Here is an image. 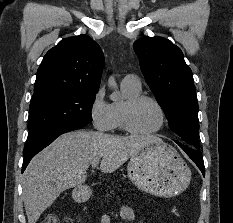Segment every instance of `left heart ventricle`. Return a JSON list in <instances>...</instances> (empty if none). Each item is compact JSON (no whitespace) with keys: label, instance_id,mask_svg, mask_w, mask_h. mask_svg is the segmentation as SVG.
Returning a JSON list of instances; mask_svg holds the SVG:
<instances>
[{"label":"left heart ventricle","instance_id":"left-heart-ventricle-1","mask_svg":"<svg viewBox=\"0 0 233 223\" xmlns=\"http://www.w3.org/2000/svg\"><path fill=\"white\" fill-rule=\"evenodd\" d=\"M162 116L158 107L151 101L141 103L133 116L134 127L140 132H152L160 127Z\"/></svg>","mask_w":233,"mask_h":223}]
</instances>
